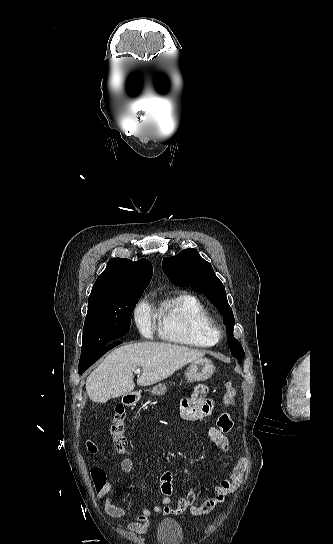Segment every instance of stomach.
I'll return each instance as SVG.
<instances>
[{
    "mask_svg": "<svg viewBox=\"0 0 333 544\" xmlns=\"http://www.w3.org/2000/svg\"><path fill=\"white\" fill-rule=\"evenodd\" d=\"M215 371L214 364L211 360L206 358L198 359L194 362H192L189 367L187 368L185 372V377L188 382H194V381H203L209 379ZM149 391L156 396H161L165 394L167 391V386L165 383H159L152 388L149 389ZM132 402H136L140 398L139 393H133L131 395ZM131 402V403H132Z\"/></svg>",
    "mask_w": 333,
    "mask_h": 544,
    "instance_id": "obj_1",
    "label": "stomach"
}]
</instances>
